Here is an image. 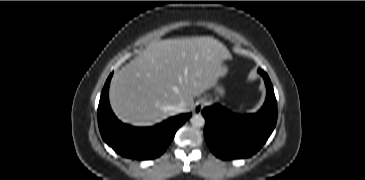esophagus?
I'll return each mask as SVG.
<instances>
[{"mask_svg": "<svg viewBox=\"0 0 365 180\" xmlns=\"http://www.w3.org/2000/svg\"><path fill=\"white\" fill-rule=\"evenodd\" d=\"M205 106V102L204 101H199L195 104L194 108H193V112L195 114H199L201 113L203 107Z\"/></svg>", "mask_w": 365, "mask_h": 180, "instance_id": "obj_1", "label": "esophagus"}]
</instances>
